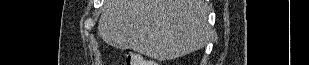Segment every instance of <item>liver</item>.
Listing matches in <instances>:
<instances>
[{
  "label": "liver",
  "mask_w": 309,
  "mask_h": 65,
  "mask_svg": "<svg viewBox=\"0 0 309 65\" xmlns=\"http://www.w3.org/2000/svg\"><path fill=\"white\" fill-rule=\"evenodd\" d=\"M209 32L203 0H105L98 22L107 44L160 61L204 47Z\"/></svg>",
  "instance_id": "6515ba94"
}]
</instances>
